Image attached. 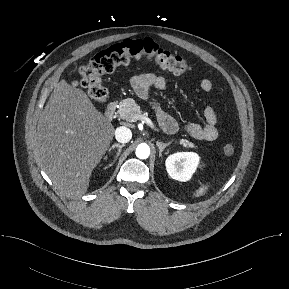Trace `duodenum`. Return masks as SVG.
<instances>
[{
	"instance_id": "410a0bca",
	"label": "duodenum",
	"mask_w": 289,
	"mask_h": 289,
	"mask_svg": "<svg viewBox=\"0 0 289 289\" xmlns=\"http://www.w3.org/2000/svg\"><path fill=\"white\" fill-rule=\"evenodd\" d=\"M117 109V103L116 102H110L105 111V117L107 120H112Z\"/></svg>"
}]
</instances>
